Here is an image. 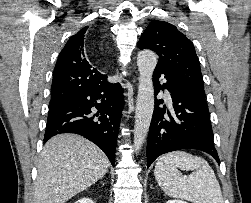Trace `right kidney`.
Returning a JSON list of instances; mask_svg holds the SVG:
<instances>
[{
  "instance_id": "1",
  "label": "right kidney",
  "mask_w": 251,
  "mask_h": 203,
  "mask_svg": "<svg viewBox=\"0 0 251 203\" xmlns=\"http://www.w3.org/2000/svg\"><path fill=\"white\" fill-rule=\"evenodd\" d=\"M75 203H94V202L92 199L84 197V198L77 200Z\"/></svg>"
}]
</instances>
